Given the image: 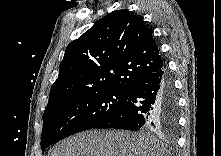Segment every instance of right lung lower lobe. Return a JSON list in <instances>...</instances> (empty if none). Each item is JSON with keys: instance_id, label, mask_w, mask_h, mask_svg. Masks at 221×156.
I'll return each mask as SVG.
<instances>
[{"instance_id": "1", "label": "right lung lower lobe", "mask_w": 221, "mask_h": 156, "mask_svg": "<svg viewBox=\"0 0 221 156\" xmlns=\"http://www.w3.org/2000/svg\"><path fill=\"white\" fill-rule=\"evenodd\" d=\"M177 120V93L164 66L136 82L129 89L126 102L93 128L137 131L144 127H165L173 131Z\"/></svg>"}]
</instances>
